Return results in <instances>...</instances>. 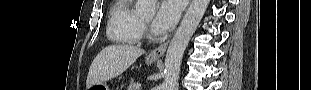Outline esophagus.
<instances>
[{
	"mask_svg": "<svg viewBox=\"0 0 311 90\" xmlns=\"http://www.w3.org/2000/svg\"><path fill=\"white\" fill-rule=\"evenodd\" d=\"M168 43H169V41H167V42L161 44L159 47L151 50L149 53V57L153 58V59H160L164 55V53L167 49Z\"/></svg>",
	"mask_w": 311,
	"mask_h": 90,
	"instance_id": "obj_1",
	"label": "esophagus"
}]
</instances>
